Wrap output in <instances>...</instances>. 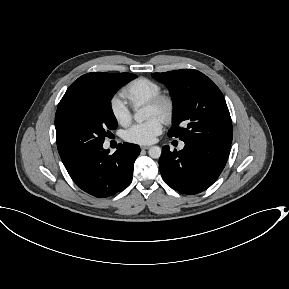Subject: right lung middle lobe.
I'll list each match as a JSON object with an SVG mask.
<instances>
[{
  "label": "right lung middle lobe",
  "instance_id": "1",
  "mask_svg": "<svg viewBox=\"0 0 289 289\" xmlns=\"http://www.w3.org/2000/svg\"><path fill=\"white\" fill-rule=\"evenodd\" d=\"M135 74H111L85 97L58 105L55 115L56 139L64 165L103 145L110 130L117 128L110 100Z\"/></svg>",
  "mask_w": 289,
  "mask_h": 289
}]
</instances>
